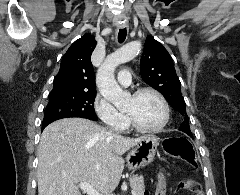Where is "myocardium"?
<instances>
[{
  "mask_svg": "<svg viewBox=\"0 0 240 195\" xmlns=\"http://www.w3.org/2000/svg\"><path fill=\"white\" fill-rule=\"evenodd\" d=\"M145 93H151V94L155 95L158 98V100L160 101L162 110H163L162 119H161L160 123L157 124L156 126H152V127H143V126H140L134 120L133 116L130 113L123 111L124 118H125V124H126V127H129L138 133H142V134L156 133V132H159L160 130H162L166 126V124L169 120V115H170L169 114V105H168L167 100L165 99L164 95L161 92H159L158 90H156L154 88H150V87H144V88L138 89L137 91H135L132 94L131 97L137 98Z\"/></svg>",
  "mask_w": 240,
  "mask_h": 195,
  "instance_id": "obj_1",
  "label": "myocardium"
}]
</instances>
